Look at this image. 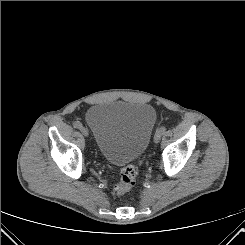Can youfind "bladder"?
<instances>
[{"instance_id": "31cf9c89", "label": "bladder", "mask_w": 245, "mask_h": 245, "mask_svg": "<svg viewBox=\"0 0 245 245\" xmlns=\"http://www.w3.org/2000/svg\"><path fill=\"white\" fill-rule=\"evenodd\" d=\"M85 119L99 154L113 165H123L143 154L157 114L146 103L111 101L91 106Z\"/></svg>"}]
</instances>
